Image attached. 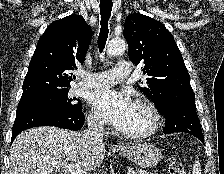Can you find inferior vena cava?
Masks as SVG:
<instances>
[{"instance_id": "inferior-vena-cava-1", "label": "inferior vena cava", "mask_w": 224, "mask_h": 174, "mask_svg": "<svg viewBox=\"0 0 224 174\" xmlns=\"http://www.w3.org/2000/svg\"><path fill=\"white\" fill-rule=\"evenodd\" d=\"M88 128L83 132L82 137L93 145H102L103 142V121L98 118L88 119Z\"/></svg>"}]
</instances>
